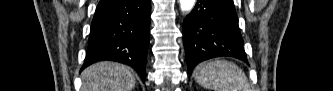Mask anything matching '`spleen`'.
<instances>
[{
    "instance_id": "3e777b00",
    "label": "spleen",
    "mask_w": 333,
    "mask_h": 91,
    "mask_svg": "<svg viewBox=\"0 0 333 91\" xmlns=\"http://www.w3.org/2000/svg\"><path fill=\"white\" fill-rule=\"evenodd\" d=\"M196 82L214 91H250L243 70L227 60H215L198 65L193 72Z\"/></svg>"
}]
</instances>
